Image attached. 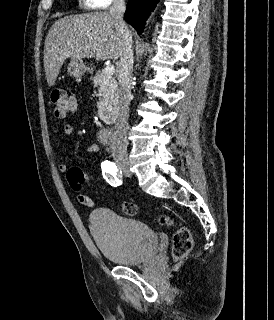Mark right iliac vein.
Wrapping results in <instances>:
<instances>
[{
    "mask_svg": "<svg viewBox=\"0 0 274 320\" xmlns=\"http://www.w3.org/2000/svg\"><path fill=\"white\" fill-rule=\"evenodd\" d=\"M116 163L120 168V170H122L125 175L127 176L131 175V171L129 169V162L126 158H123V157L117 158Z\"/></svg>",
    "mask_w": 274,
    "mask_h": 320,
    "instance_id": "right-iliac-vein-1",
    "label": "right iliac vein"
}]
</instances>
